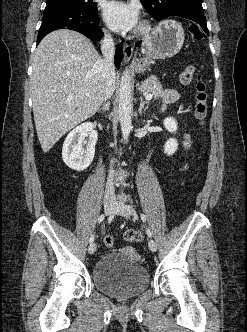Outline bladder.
<instances>
[{
    "label": "bladder",
    "mask_w": 247,
    "mask_h": 332,
    "mask_svg": "<svg viewBox=\"0 0 247 332\" xmlns=\"http://www.w3.org/2000/svg\"><path fill=\"white\" fill-rule=\"evenodd\" d=\"M94 286L118 299L133 298L149 285L147 270L137 261L132 248L111 250L100 257L92 269Z\"/></svg>",
    "instance_id": "bladder-1"
}]
</instances>
